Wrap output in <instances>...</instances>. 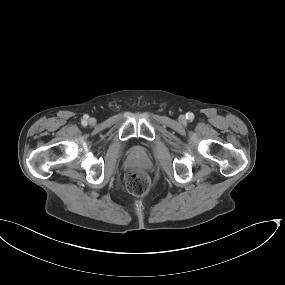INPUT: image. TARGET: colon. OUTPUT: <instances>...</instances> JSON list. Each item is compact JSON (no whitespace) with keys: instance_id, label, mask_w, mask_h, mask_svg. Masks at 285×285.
Returning a JSON list of instances; mask_svg holds the SVG:
<instances>
[{"instance_id":"colon-1","label":"colon","mask_w":285,"mask_h":285,"mask_svg":"<svg viewBox=\"0 0 285 285\" xmlns=\"http://www.w3.org/2000/svg\"><path fill=\"white\" fill-rule=\"evenodd\" d=\"M125 184L131 194L144 197L150 191L151 179L145 172L131 171L126 175Z\"/></svg>"}]
</instances>
